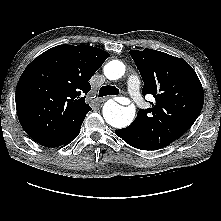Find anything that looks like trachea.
<instances>
[{
	"label": "trachea",
	"instance_id": "trachea-1",
	"mask_svg": "<svg viewBox=\"0 0 221 221\" xmlns=\"http://www.w3.org/2000/svg\"><path fill=\"white\" fill-rule=\"evenodd\" d=\"M119 94V89H117L115 86H102L99 90L98 96L103 97L107 95H118Z\"/></svg>",
	"mask_w": 221,
	"mask_h": 221
}]
</instances>
